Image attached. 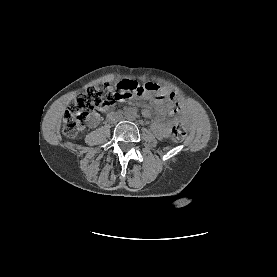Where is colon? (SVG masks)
I'll return each instance as SVG.
<instances>
[{
    "label": "colon",
    "instance_id": "colon-1",
    "mask_svg": "<svg viewBox=\"0 0 277 277\" xmlns=\"http://www.w3.org/2000/svg\"><path fill=\"white\" fill-rule=\"evenodd\" d=\"M143 89V85L130 80L122 81L117 85L103 83L89 87L74 100L66 111L62 124L64 134L70 137L76 136L84 128L88 118L97 110L106 108L116 101L131 98ZM186 137L185 128L180 124H175L172 128V139L181 142Z\"/></svg>",
    "mask_w": 277,
    "mask_h": 277
}]
</instances>
